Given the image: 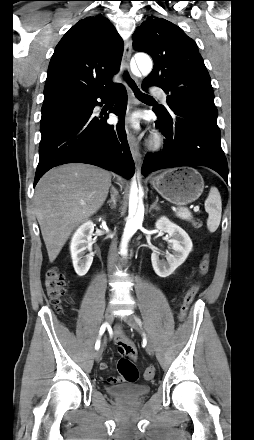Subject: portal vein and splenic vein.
Wrapping results in <instances>:
<instances>
[{
	"label": "portal vein and splenic vein",
	"mask_w": 254,
	"mask_h": 440,
	"mask_svg": "<svg viewBox=\"0 0 254 440\" xmlns=\"http://www.w3.org/2000/svg\"><path fill=\"white\" fill-rule=\"evenodd\" d=\"M193 210H194L195 213H196V212H199V207H198V206H195Z\"/></svg>",
	"instance_id": "portal-vein-and-splenic-vein-1"
}]
</instances>
